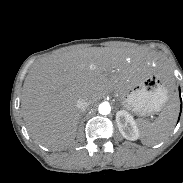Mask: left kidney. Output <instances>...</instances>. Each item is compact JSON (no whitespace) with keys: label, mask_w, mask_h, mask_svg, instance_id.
Returning a JSON list of instances; mask_svg holds the SVG:
<instances>
[{"label":"left kidney","mask_w":183,"mask_h":183,"mask_svg":"<svg viewBox=\"0 0 183 183\" xmlns=\"http://www.w3.org/2000/svg\"><path fill=\"white\" fill-rule=\"evenodd\" d=\"M116 122L124 138L135 141L139 138V129L133 116L125 110L116 113Z\"/></svg>","instance_id":"1"}]
</instances>
